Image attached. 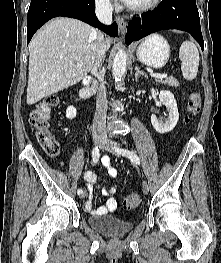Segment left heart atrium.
<instances>
[{"mask_svg":"<svg viewBox=\"0 0 221 263\" xmlns=\"http://www.w3.org/2000/svg\"><path fill=\"white\" fill-rule=\"evenodd\" d=\"M120 1H122L123 3H125L127 5H130L133 2V0H120Z\"/></svg>","mask_w":221,"mask_h":263,"instance_id":"39dd6f15","label":"left heart atrium"}]
</instances>
